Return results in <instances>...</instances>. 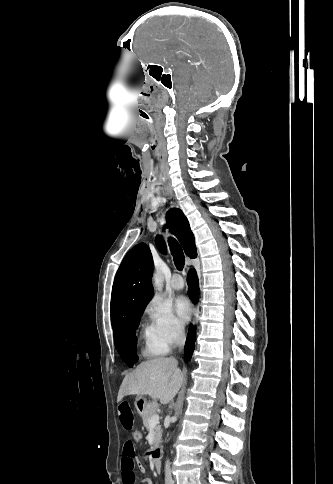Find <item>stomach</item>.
I'll return each instance as SVG.
<instances>
[{"instance_id": "1", "label": "stomach", "mask_w": 333, "mask_h": 484, "mask_svg": "<svg viewBox=\"0 0 333 484\" xmlns=\"http://www.w3.org/2000/svg\"><path fill=\"white\" fill-rule=\"evenodd\" d=\"M149 402L144 397H137L135 400V407L139 414H143L147 409Z\"/></svg>"}]
</instances>
